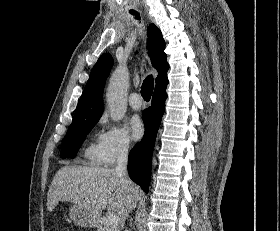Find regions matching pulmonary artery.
<instances>
[{
	"label": "pulmonary artery",
	"mask_w": 280,
	"mask_h": 231,
	"mask_svg": "<svg viewBox=\"0 0 280 231\" xmlns=\"http://www.w3.org/2000/svg\"><path fill=\"white\" fill-rule=\"evenodd\" d=\"M129 105L133 109H139L142 106V101L139 100V94L133 93L129 96Z\"/></svg>",
	"instance_id": "e3ab8cb5"
}]
</instances>
